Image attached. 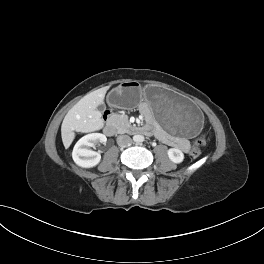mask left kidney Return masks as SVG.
Wrapping results in <instances>:
<instances>
[{
    "mask_svg": "<svg viewBox=\"0 0 264 264\" xmlns=\"http://www.w3.org/2000/svg\"><path fill=\"white\" fill-rule=\"evenodd\" d=\"M169 159L173 163H181L184 159L183 152L178 148H170L167 152Z\"/></svg>",
    "mask_w": 264,
    "mask_h": 264,
    "instance_id": "5707ae66",
    "label": "left kidney"
}]
</instances>
